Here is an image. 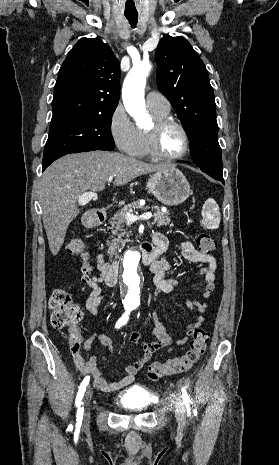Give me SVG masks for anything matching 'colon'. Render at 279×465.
<instances>
[{
    "label": "colon",
    "instance_id": "1",
    "mask_svg": "<svg viewBox=\"0 0 279 465\" xmlns=\"http://www.w3.org/2000/svg\"><path fill=\"white\" fill-rule=\"evenodd\" d=\"M199 249L203 253H209L215 248V241L207 233H201L196 239ZM70 255L79 256L82 260L81 279L88 283L90 280L91 267L88 263V253L85 243L79 237H72L67 245ZM49 307L51 309L50 321L52 326L58 330L68 331V345L72 354L79 351L81 334L78 323L82 319V310L73 302L71 292L64 287L53 290ZM209 342V334L204 329H197L187 352L180 356L171 358L165 362L152 363L148 368V377L157 381L165 376L183 373L193 368L204 355Z\"/></svg>",
    "mask_w": 279,
    "mask_h": 465
}]
</instances>
